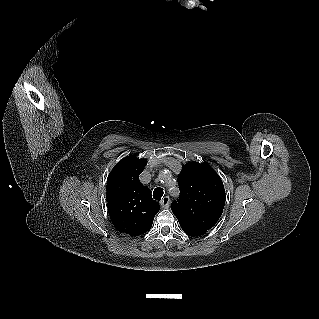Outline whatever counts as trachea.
Returning <instances> with one entry per match:
<instances>
[{
    "instance_id": "trachea-1",
    "label": "trachea",
    "mask_w": 319,
    "mask_h": 319,
    "mask_svg": "<svg viewBox=\"0 0 319 319\" xmlns=\"http://www.w3.org/2000/svg\"><path fill=\"white\" fill-rule=\"evenodd\" d=\"M163 189L162 188H160V187H158V188H155V190L153 191V198L155 199V200H160L161 199V197L163 196Z\"/></svg>"
}]
</instances>
